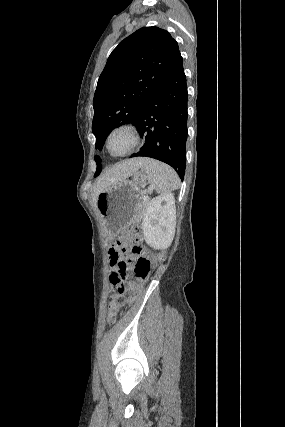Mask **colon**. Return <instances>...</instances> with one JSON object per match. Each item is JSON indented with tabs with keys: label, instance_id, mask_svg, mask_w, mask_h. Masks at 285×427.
Instances as JSON below:
<instances>
[{
	"label": "colon",
	"instance_id": "5ec220e1",
	"mask_svg": "<svg viewBox=\"0 0 285 427\" xmlns=\"http://www.w3.org/2000/svg\"><path fill=\"white\" fill-rule=\"evenodd\" d=\"M113 248L116 255H121L122 252L129 251L135 255V259L131 263L119 260L117 267L120 273L110 275V281L115 291L109 300V319L111 322L114 321L115 314L123 307L125 295L129 293L131 298L137 296L141 286L148 280L152 270V257L140 242V231L138 228L125 231L124 234L115 240ZM163 259V254L157 255V260L162 261ZM129 267H131L133 272V278L130 281H128L126 274V270Z\"/></svg>",
	"mask_w": 285,
	"mask_h": 427
}]
</instances>
